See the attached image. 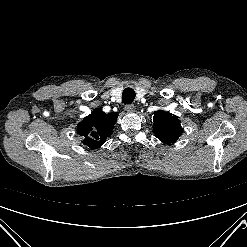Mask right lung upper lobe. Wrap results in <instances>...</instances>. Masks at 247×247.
<instances>
[{
  "label": "right lung upper lobe",
  "instance_id": "right-lung-upper-lobe-1",
  "mask_svg": "<svg viewBox=\"0 0 247 247\" xmlns=\"http://www.w3.org/2000/svg\"><path fill=\"white\" fill-rule=\"evenodd\" d=\"M118 114H106L100 109H94L78 124V134L84 137L82 143L91 149H97L104 144L112 133Z\"/></svg>",
  "mask_w": 247,
  "mask_h": 247
}]
</instances>
